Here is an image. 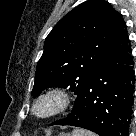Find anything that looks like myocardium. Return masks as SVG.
<instances>
[{
	"mask_svg": "<svg viewBox=\"0 0 136 136\" xmlns=\"http://www.w3.org/2000/svg\"><path fill=\"white\" fill-rule=\"evenodd\" d=\"M71 96L62 87L54 86L40 93L32 103V114L38 119H50L64 113L70 106ZM48 105L47 110L41 107Z\"/></svg>",
	"mask_w": 136,
	"mask_h": 136,
	"instance_id": "f54148a6",
	"label": "myocardium"
}]
</instances>
